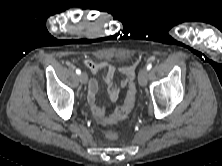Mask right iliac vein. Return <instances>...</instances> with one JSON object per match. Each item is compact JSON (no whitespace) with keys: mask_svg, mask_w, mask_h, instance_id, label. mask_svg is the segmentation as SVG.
I'll use <instances>...</instances> for the list:
<instances>
[{"mask_svg":"<svg viewBox=\"0 0 222 166\" xmlns=\"http://www.w3.org/2000/svg\"><path fill=\"white\" fill-rule=\"evenodd\" d=\"M79 80L82 84H86L87 83V80H88V76L86 73H81L80 76H79Z\"/></svg>","mask_w":222,"mask_h":166,"instance_id":"63e3f726","label":"right iliac vein"}]
</instances>
